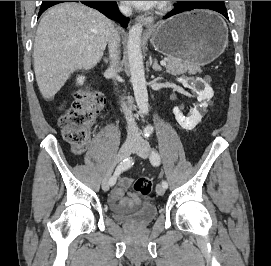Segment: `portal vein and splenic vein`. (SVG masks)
<instances>
[{
    "label": "portal vein and splenic vein",
    "instance_id": "1",
    "mask_svg": "<svg viewBox=\"0 0 271 266\" xmlns=\"http://www.w3.org/2000/svg\"><path fill=\"white\" fill-rule=\"evenodd\" d=\"M160 64H161L162 66H166L167 62H166V60H162V61H160Z\"/></svg>",
    "mask_w": 271,
    "mask_h": 266
}]
</instances>
